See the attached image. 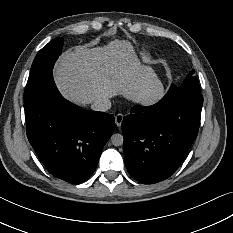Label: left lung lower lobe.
I'll use <instances>...</instances> for the list:
<instances>
[{"instance_id":"left-lung-lower-lobe-1","label":"left lung lower lobe","mask_w":233,"mask_h":233,"mask_svg":"<svg viewBox=\"0 0 233 233\" xmlns=\"http://www.w3.org/2000/svg\"><path fill=\"white\" fill-rule=\"evenodd\" d=\"M203 96L172 91L152 106H134L122 122L130 175L153 184L170 177L197 137Z\"/></svg>"}]
</instances>
